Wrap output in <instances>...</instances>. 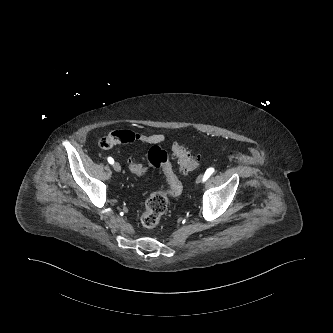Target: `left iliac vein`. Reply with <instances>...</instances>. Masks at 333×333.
Masks as SVG:
<instances>
[{"instance_id": "1", "label": "left iliac vein", "mask_w": 333, "mask_h": 333, "mask_svg": "<svg viewBox=\"0 0 333 333\" xmlns=\"http://www.w3.org/2000/svg\"><path fill=\"white\" fill-rule=\"evenodd\" d=\"M203 178H204V175H203V174L199 175V176L197 177V179H196V183L199 184L200 182H202V181H203Z\"/></svg>"}]
</instances>
